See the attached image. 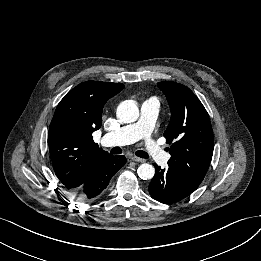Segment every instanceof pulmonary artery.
Instances as JSON below:
<instances>
[{
  "label": "pulmonary artery",
  "mask_w": 261,
  "mask_h": 261,
  "mask_svg": "<svg viewBox=\"0 0 261 261\" xmlns=\"http://www.w3.org/2000/svg\"><path fill=\"white\" fill-rule=\"evenodd\" d=\"M158 114V104L154 99H147L142 103L141 116L138 122L127 125L117 131L103 136L104 146H123L140 139L145 142L148 155L160 166L167 164L169 154L164 152L156 140L152 138V130Z\"/></svg>",
  "instance_id": "obj_1"
}]
</instances>
